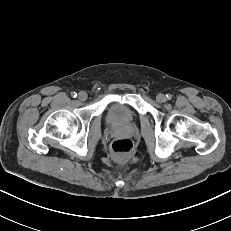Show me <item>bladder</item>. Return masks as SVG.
Here are the masks:
<instances>
[{
	"label": "bladder",
	"mask_w": 231,
	"mask_h": 231,
	"mask_svg": "<svg viewBox=\"0 0 231 231\" xmlns=\"http://www.w3.org/2000/svg\"><path fill=\"white\" fill-rule=\"evenodd\" d=\"M133 119V111L125 104L119 102L111 104L106 113L107 122L114 125L127 124Z\"/></svg>",
	"instance_id": "bladder-1"
}]
</instances>
